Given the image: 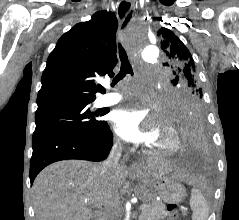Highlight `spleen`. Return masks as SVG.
Segmentation results:
<instances>
[{"instance_id": "1", "label": "spleen", "mask_w": 239, "mask_h": 220, "mask_svg": "<svg viewBox=\"0 0 239 220\" xmlns=\"http://www.w3.org/2000/svg\"><path fill=\"white\" fill-rule=\"evenodd\" d=\"M190 206L193 211L192 220H207L209 215L208 203L198 189H192Z\"/></svg>"}]
</instances>
